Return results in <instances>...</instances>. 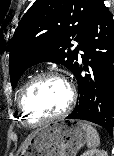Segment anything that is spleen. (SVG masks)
I'll return each instance as SVG.
<instances>
[{
	"instance_id": "1",
	"label": "spleen",
	"mask_w": 114,
	"mask_h": 156,
	"mask_svg": "<svg viewBox=\"0 0 114 156\" xmlns=\"http://www.w3.org/2000/svg\"><path fill=\"white\" fill-rule=\"evenodd\" d=\"M84 126L88 137L87 146L90 148L97 147L100 144V137L97 130L87 123H84Z\"/></svg>"
}]
</instances>
